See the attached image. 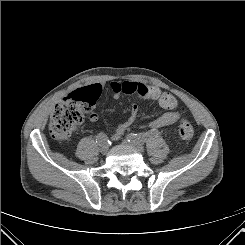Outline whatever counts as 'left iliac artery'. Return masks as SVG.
Returning a JSON list of instances; mask_svg holds the SVG:
<instances>
[{
	"mask_svg": "<svg viewBox=\"0 0 245 245\" xmlns=\"http://www.w3.org/2000/svg\"><path fill=\"white\" fill-rule=\"evenodd\" d=\"M157 134V131H152L150 133H144V134H129L128 140L144 144L148 137L154 136Z\"/></svg>",
	"mask_w": 245,
	"mask_h": 245,
	"instance_id": "left-iliac-artery-1",
	"label": "left iliac artery"
}]
</instances>
